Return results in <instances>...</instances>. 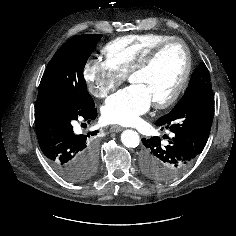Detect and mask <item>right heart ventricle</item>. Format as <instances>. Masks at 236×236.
I'll use <instances>...</instances> for the list:
<instances>
[{
	"instance_id": "obj_1",
	"label": "right heart ventricle",
	"mask_w": 236,
	"mask_h": 236,
	"mask_svg": "<svg viewBox=\"0 0 236 236\" xmlns=\"http://www.w3.org/2000/svg\"><path fill=\"white\" fill-rule=\"evenodd\" d=\"M171 37L159 33L126 35L108 42L102 51L106 59L125 76L155 45Z\"/></svg>"
}]
</instances>
